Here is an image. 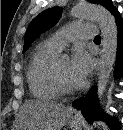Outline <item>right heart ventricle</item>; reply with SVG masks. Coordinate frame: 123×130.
I'll return each mask as SVG.
<instances>
[{"label": "right heart ventricle", "instance_id": "obj_1", "mask_svg": "<svg viewBox=\"0 0 123 130\" xmlns=\"http://www.w3.org/2000/svg\"><path fill=\"white\" fill-rule=\"evenodd\" d=\"M57 50L46 42L35 50L27 69V79L32 95L43 101L56 100L60 93L53 79V58Z\"/></svg>", "mask_w": 123, "mask_h": 130}]
</instances>
